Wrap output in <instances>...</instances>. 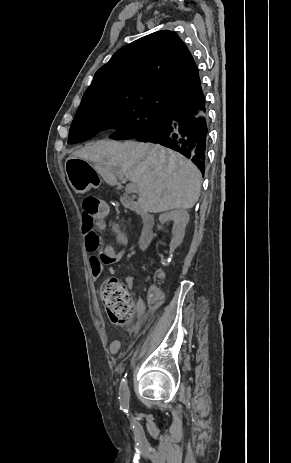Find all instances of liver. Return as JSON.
Segmentation results:
<instances>
[{
	"mask_svg": "<svg viewBox=\"0 0 291 463\" xmlns=\"http://www.w3.org/2000/svg\"><path fill=\"white\" fill-rule=\"evenodd\" d=\"M70 158L91 162L110 186L117 184L114 169L139 191L137 205L144 212L190 209L199 199L201 173L188 159L152 143L100 140L75 151Z\"/></svg>",
	"mask_w": 291,
	"mask_h": 463,
	"instance_id": "1",
	"label": "liver"
}]
</instances>
